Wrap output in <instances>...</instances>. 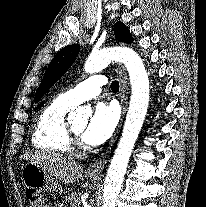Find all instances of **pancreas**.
I'll return each instance as SVG.
<instances>
[{"instance_id":"obj_1","label":"pancreas","mask_w":206,"mask_h":207,"mask_svg":"<svg viewBox=\"0 0 206 207\" xmlns=\"http://www.w3.org/2000/svg\"><path fill=\"white\" fill-rule=\"evenodd\" d=\"M69 207H80L81 205V192H72L66 198ZM56 207H64L63 204L57 205Z\"/></svg>"}]
</instances>
